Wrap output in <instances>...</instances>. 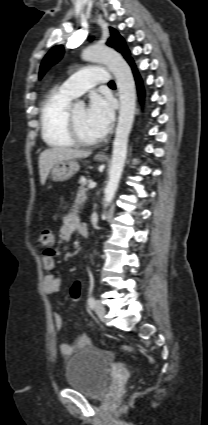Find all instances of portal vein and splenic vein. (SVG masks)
Masks as SVG:
<instances>
[{"label":"portal vein and splenic vein","instance_id":"1","mask_svg":"<svg viewBox=\"0 0 208 425\" xmlns=\"http://www.w3.org/2000/svg\"><path fill=\"white\" fill-rule=\"evenodd\" d=\"M96 187V183L95 182H90L89 184H88V188L89 189H93V188H95Z\"/></svg>","mask_w":208,"mask_h":425}]
</instances>
